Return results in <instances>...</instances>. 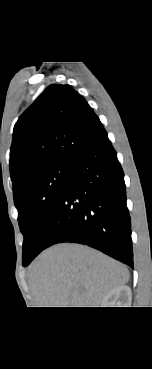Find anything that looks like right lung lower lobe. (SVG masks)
Wrapping results in <instances>:
<instances>
[{
	"label": "right lung lower lobe",
	"instance_id": "1",
	"mask_svg": "<svg viewBox=\"0 0 152 369\" xmlns=\"http://www.w3.org/2000/svg\"><path fill=\"white\" fill-rule=\"evenodd\" d=\"M62 242L89 245L133 268L124 173L106 131L70 162L36 250L23 266Z\"/></svg>",
	"mask_w": 152,
	"mask_h": 369
}]
</instances>
